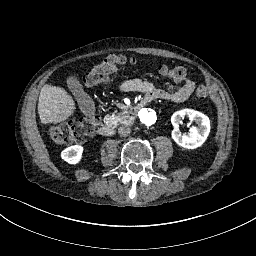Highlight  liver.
<instances>
[{
    "mask_svg": "<svg viewBox=\"0 0 256 256\" xmlns=\"http://www.w3.org/2000/svg\"><path fill=\"white\" fill-rule=\"evenodd\" d=\"M76 110L74 99L63 87L51 83L42 86L38 114L43 126L67 121L75 115Z\"/></svg>",
    "mask_w": 256,
    "mask_h": 256,
    "instance_id": "1",
    "label": "liver"
}]
</instances>
